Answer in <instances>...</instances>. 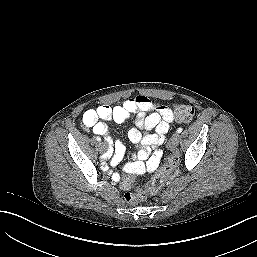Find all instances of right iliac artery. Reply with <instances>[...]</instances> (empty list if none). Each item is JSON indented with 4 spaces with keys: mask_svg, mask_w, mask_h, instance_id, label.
Masks as SVG:
<instances>
[{
    "mask_svg": "<svg viewBox=\"0 0 257 257\" xmlns=\"http://www.w3.org/2000/svg\"><path fill=\"white\" fill-rule=\"evenodd\" d=\"M97 141H101V138L99 136L96 137ZM106 156H108V153H106Z\"/></svg>",
    "mask_w": 257,
    "mask_h": 257,
    "instance_id": "82829eb1",
    "label": "right iliac artery"
}]
</instances>
